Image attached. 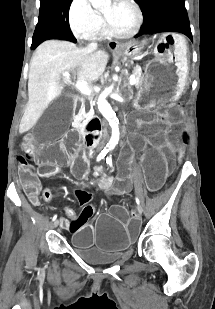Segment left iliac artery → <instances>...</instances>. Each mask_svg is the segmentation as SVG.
Returning <instances> with one entry per match:
<instances>
[{"mask_svg": "<svg viewBox=\"0 0 215 309\" xmlns=\"http://www.w3.org/2000/svg\"><path fill=\"white\" fill-rule=\"evenodd\" d=\"M106 162H107V164L110 165V167L113 168L111 155L106 158ZM113 170H114V168H113ZM136 203H137V206H138V210L142 211L143 208H142L141 202H140V200L137 196H136Z\"/></svg>", "mask_w": 215, "mask_h": 309, "instance_id": "obj_1", "label": "left iliac artery"}]
</instances>
